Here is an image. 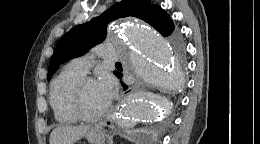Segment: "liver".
Returning a JSON list of instances; mask_svg holds the SVG:
<instances>
[{"mask_svg":"<svg viewBox=\"0 0 260 144\" xmlns=\"http://www.w3.org/2000/svg\"><path fill=\"white\" fill-rule=\"evenodd\" d=\"M89 130V126H59L55 128L49 139V144H74Z\"/></svg>","mask_w":260,"mask_h":144,"instance_id":"6515ba94","label":"liver"}]
</instances>
